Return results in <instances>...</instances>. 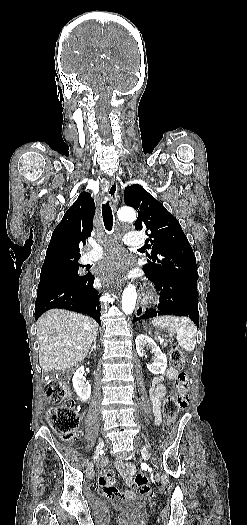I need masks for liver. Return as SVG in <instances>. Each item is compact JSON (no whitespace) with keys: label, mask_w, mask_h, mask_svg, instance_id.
<instances>
[{"label":"liver","mask_w":247,"mask_h":525,"mask_svg":"<svg viewBox=\"0 0 247 525\" xmlns=\"http://www.w3.org/2000/svg\"><path fill=\"white\" fill-rule=\"evenodd\" d=\"M98 327L94 319L73 311L50 309L43 313L37 321L42 371H66L77 367L87 357Z\"/></svg>","instance_id":"6515ba94"}]
</instances>
